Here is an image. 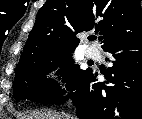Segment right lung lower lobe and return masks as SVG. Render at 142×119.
Segmentation results:
<instances>
[{
    "mask_svg": "<svg viewBox=\"0 0 142 119\" xmlns=\"http://www.w3.org/2000/svg\"><path fill=\"white\" fill-rule=\"evenodd\" d=\"M104 51L113 64L106 82H98L89 69L74 92L55 104L71 97L80 119H142V36Z\"/></svg>",
    "mask_w": 142,
    "mask_h": 119,
    "instance_id": "1",
    "label": "right lung lower lobe"
}]
</instances>
